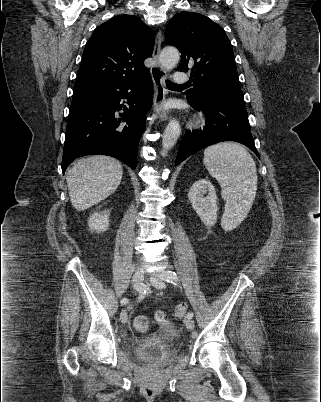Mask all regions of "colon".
<instances>
[{"mask_svg":"<svg viewBox=\"0 0 321 402\" xmlns=\"http://www.w3.org/2000/svg\"><path fill=\"white\" fill-rule=\"evenodd\" d=\"M186 313V304H180L175 308L174 315L176 318H183ZM134 327L139 332H147L150 329V321L146 316H136L134 319Z\"/></svg>","mask_w":321,"mask_h":402,"instance_id":"5ec220e1","label":"colon"}]
</instances>
